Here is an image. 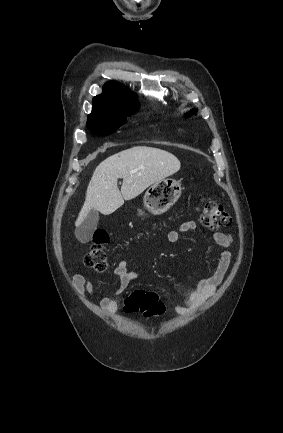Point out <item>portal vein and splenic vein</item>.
I'll return each instance as SVG.
<instances>
[{"label": "portal vein and splenic vein", "instance_id": "18ae733b", "mask_svg": "<svg viewBox=\"0 0 283 433\" xmlns=\"http://www.w3.org/2000/svg\"><path fill=\"white\" fill-rule=\"evenodd\" d=\"M131 172H137V170H130V174H131Z\"/></svg>", "mask_w": 283, "mask_h": 433}]
</instances>
